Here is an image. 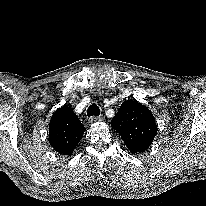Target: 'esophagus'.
Returning <instances> with one entry per match:
<instances>
[{"label": "esophagus", "instance_id": "1", "mask_svg": "<svg viewBox=\"0 0 206 206\" xmlns=\"http://www.w3.org/2000/svg\"><path fill=\"white\" fill-rule=\"evenodd\" d=\"M103 120V118H102V116H93V117H91L90 118V123H96V122H99V121H102Z\"/></svg>", "mask_w": 206, "mask_h": 206}]
</instances>
